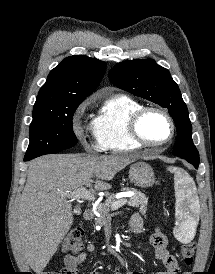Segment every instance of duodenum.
<instances>
[{
	"mask_svg": "<svg viewBox=\"0 0 215 274\" xmlns=\"http://www.w3.org/2000/svg\"><path fill=\"white\" fill-rule=\"evenodd\" d=\"M93 216H94V210L92 208H87L83 213V217L85 220H90L93 218ZM135 233L137 232L135 231Z\"/></svg>",
	"mask_w": 215,
	"mask_h": 274,
	"instance_id": "1",
	"label": "duodenum"
}]
</instances>
